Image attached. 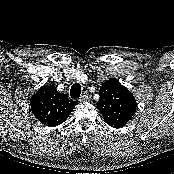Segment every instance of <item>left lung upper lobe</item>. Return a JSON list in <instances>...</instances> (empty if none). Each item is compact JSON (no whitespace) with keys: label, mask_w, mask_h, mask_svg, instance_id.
Listing matches in <instances>:
<instances>
[{"label":"left lung upper lobe","mask_w":174,"mask_h":174,"mask_svg":"<svg viewBox=\"0 0 174 174\" xmlns=\"http://www.w3.org/2000/svg\"><path fill=\"white\" fill-rule=\"evenodd\" d=\"M97 109L108 125L124 127L134 115L137 103L132 93L115 78L105 81L99 90Z\"/></svg>","instance_id":"left-lung-upper-lobe-1"}]
</instances>
